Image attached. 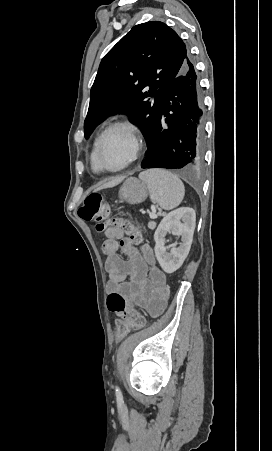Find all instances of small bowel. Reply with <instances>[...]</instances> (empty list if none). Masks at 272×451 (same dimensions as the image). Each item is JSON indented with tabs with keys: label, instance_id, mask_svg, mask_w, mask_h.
Masks as SVG:
<instances>
[{
	"label": "small bowel",
	"instance_id": "1",
	"mask_svg": "<svg viewBox=\"0 0 272 451\" xmlns=\"http://www.w3.org/2000/svg\"><path fill=\"white\" fill-rule=\"evenodd\" d=\"M120 231L124 232L123 236L119 235ZM132 233L129 224L105 229L102 251L106 256L107 290L110 295L125 296L156 316L164 310L169 298L165 275L149 245L136 249ZM119 250L129 259H123Z\"/></svg>",
	"mask_w": 272,
	"mask_h": 451
}]
</instances>
